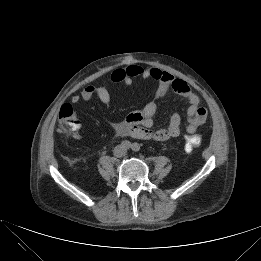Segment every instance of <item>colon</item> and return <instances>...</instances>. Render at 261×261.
<instances>
[{
    "label": "colon",
    "mask_w": 261,
    "mask_h": 261,
    "mask_svg": "<svg viewBox=\"0 0 261 261\" xmlns=\"http://www.w3.org/2000/svg\"><path fill=\"white\" fill-rule=\"evenodd\" d=\"M58 126L59 131L73 134L79 128V120L77 119L74 110L70 104H64L58 115ZM202 142V139L197 134H189L185 137L184 147L185 150L190 152L195 148L199 147Z\"/></svg>",
    "instance_id": "1"
}]
</instances>
